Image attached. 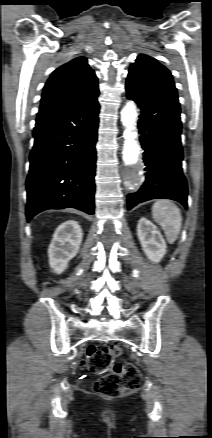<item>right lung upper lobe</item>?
I'll use <instances>...</instances> for the list:
<instances>
[{
	"mask_svg": "<svg viewBox=\"0 0 212 438\" xmlns=\"http://www.w3.org/2000/svg\"><path fill=\"white\" fill-rule=\"evenodd\" d=\"M98 95L94 71L86 58L78 57L52 73L43 90L39 113L83 104Z\"/></svg>",
	"mask_w": 212,
	"mask_h": 438,
	"instance_id": "1",
	"label": "right lung upper lobe"
}]
</instances>
